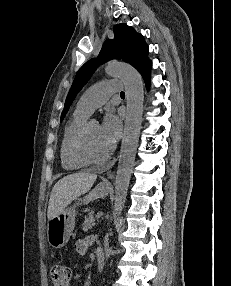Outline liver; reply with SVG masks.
I'll return each instance as SVG.
<instances>
[{
	"instance_id": "1",
	"label": "liver",
	"mask_w": 231,
	"mask_h": 286,
	"mask_svg": "<svg viewBox=\"0 0 231 286\" xmlns=\"http://www.w3.org/2000/svg\"><path fill=\"white\" fill-rule=\"evenodd\" d=\"M97 175L74 173L60 179L53 187L47 217L48 220L59 215L72 201L91 189Z\"/></svg>"
}]
</instances>
